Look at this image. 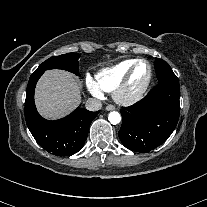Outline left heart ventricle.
Returning <instances> with one entry per match:
<instances>
[{
	"label": "left heart ventricle",
	"mask_w": 207,
	"mask_h": 207,
	"mask_svg": "<svg viewBox=\"0 0 207 207\" xmlns=\"http://www.w3.org/2000/svg\"><path fill=\"white\" fill-rule=\"evenodd\" d=\"M147 75V65L144 63H139L134 69L128 90L132 92L138 89L146 80Z\"/></svg>",
	"instance_id": "1"
}]
</instances>
